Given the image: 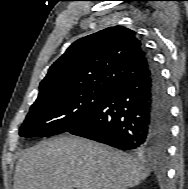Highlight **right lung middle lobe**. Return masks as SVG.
<instances>
[{
    "instance_id": "dd1d6c3e",
    "label": "right lung middle lobe",
    "mask_w": 188,
    "mask_h": 189,
    "mask_svg": "<svg viewBox=\"0 0 188 189\" xmlns=\"http://www.w3.org/2000/svg\"><path fill=\"white\" fill-rule=\"evenodd\" d=\"M111 91L91 88L39 96L31 106L19 135L45 137L67 132L83 121Z\"/></svg>"
}]
</instances>
